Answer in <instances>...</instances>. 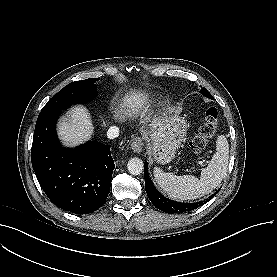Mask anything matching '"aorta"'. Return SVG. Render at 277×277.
<instances>
[{
    "label": "aorta",
    "instance_id": "1",
    "mask_svg": "<svg viewBox=\"0 0 277 277\" xmlns=\"http://www.w3.org/2000/svg\"><path fill=\"white\" fill-rule=\"evenodd\" d=\"M127 169L132 175H140L144 171V163L140 158L133 157L128 161Z\"/></svg>",
    "mask_w": 277,
    "mask_h": 277
}]
</instances>
